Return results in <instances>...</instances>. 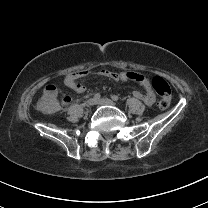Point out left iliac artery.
<instances>
[{"label":"left iliac artery","mask_w":208,"mask_h":208,"mask_svg":"<svg viewBox=\"0 0 208 208\" xmlns=\"http://www.w3.org/2000/svg\"><path fill=\"white\" fill-rule=\"evenodd\" d=\"M111 98L114 100V101H118L119 100V97L117 95H112Z\"/></svg>","instance_id":"44dca946"}]
</instances>
